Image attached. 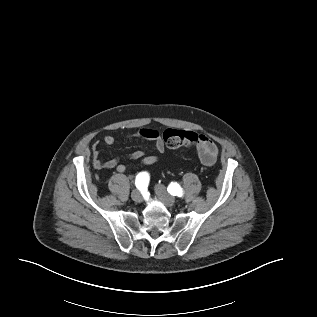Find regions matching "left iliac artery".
<instances>
[{"mask_svg": "<svg viewBox=\"0 0 317 317\" xmlns=\"http://www.w3.org/2000/svg\"><path fill=\"white\" fill-rule=\"evenodd\" d=\"M168 192H170V194L174 196H178V197L183 196V189L176 182L170 183V185L168 186Z\"/></svg>", "mask_w": 317, "mask_h": 317, "instance_id": "44dca946", "label": "left iliac artery"}]
</instances>
